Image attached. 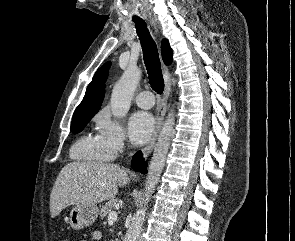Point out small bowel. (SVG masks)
Here are the masks:
<instances>
[{"mask_svg":"<svg viewBox=\"0 0 295 241\" xmlns=\"http://www.w3.org/2000/svg\"><path fill=\"white\" fill-rule=\"evenodd\" d=\"M101 233L99 232V231H93L92 233H91V238H92V240H94V241H98V240H100L101 239Z\"/></svg>","mask_w":295,"mask_h":241,"instance_id":"obj_1","label":"small bowel"}]
</instances>
